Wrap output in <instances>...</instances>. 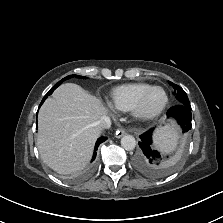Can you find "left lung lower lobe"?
<instances>
[{
    "label": "left lung lower lobe",
    "mask_w": 223,
    "mask_h": 223,
    "mask_svg": "<svg viewBox=\"0 0 223 223\" xmlns=\"http://www.w3.org/2000/svg\"><path fill=\"white\" fill-rule=\"evenodd\" d=\"M167 117H174L181 126L183 133L188 132L191 125V106L178 104L170 108ZM153 129L148 130L140 136V154L135 160L136 166L146 174L158 175L162 173V166L159 165L160 154L151 149Z\"/></svg>",
    "instance_id": "0a47b994"
}]
</instances>
